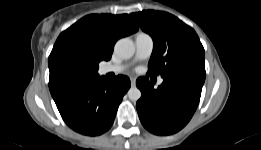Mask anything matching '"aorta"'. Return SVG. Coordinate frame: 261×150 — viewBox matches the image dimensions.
<instances>
[{"instance_id":"obj_1","label":"aorta","mask_w":261,"mask_h":150,"mask_svg":"<svg viewBox=\"0 0 261 150\" xmlns=\"http://www.w3.org/2000/svg\"><path fill=\"white\" fill-rule=\"evenodd\" d=\"M114 51L120 58L129 59L135 53V45L132 40L123 38L116 42ZM127 95L131 101H137L141 97V91L137 87H131Z\"/></svg>"}]
</instances>
